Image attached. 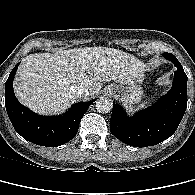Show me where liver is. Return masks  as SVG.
I'll use <instances>...</instances> for the list:
<instances>
[{
    "label": "liver",
    "instance_id": "obj_1",
    "mask_svg": "<svg viewBox=\"0 0 195 195\" xmlns=\"http://www.w3.org/2000/svg\"><path fill=\"white\" fill-rule=\"evenodd\" d=\"M145 64L135 56L108 47H84L58 50L55 54L26 56L14 79L18 100L32 111L57 114L79 97L74 89L86 86L91 97L103 83H130L143 75Z\"/></svg>",
    "mask_w": 195,
    "mask_h": 195
}]
</instances>
